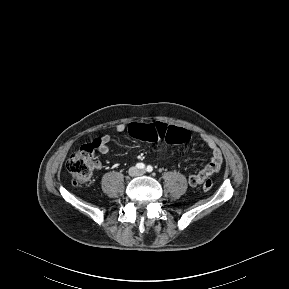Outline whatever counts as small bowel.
Segmentation results:
<instances>
[{
  "mask_svg": "<svg viewBox=\"0 0 289 289\" xmlns=\"http://www.w3.org/2000/svg\"><path fill=\"white\" fill-rule=\"evenodd\" d=\"M127 129H128V126L124 123H120L116 126V130L118 132H124ZM99 140H100V146L98 150L100 153L106 154L109 151L110 136L104 135L101 138H99ZM203 141L211 151V159L202 170H200L198 173L193 174L189 177L188 181L191 187H196L202 184L205 179H207L212 174L218 172L222 166V161H223L222 153L219 147L217 146V144L212 139L207 138V137L203 138Z\"/></svg>",
  "mask_w": 289,
  "mask_h": 289,
  "instance_id": "small-bowel-1",
  "label": "small bowel"
}]
</instances>
